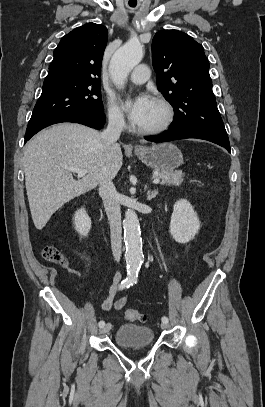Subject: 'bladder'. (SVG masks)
Returning a JSON list of instances; mask_svg holds the SVG:
<instances>
[{
  "label": "bladder",
  "mask_w": 265,
  "mask_h": 407,
  "mask_svg": "<svg viewBox=\"0 0 265 407\" xmlns=\"http://www.w3.org/2000/svg\"><path fill=\"white\" fill-rule=\"evenodd\" d=\"M154 339L153 329L147 326L126 323L115 333V342L119 346L135 348L151 344Z\"/></svg>",
  "instance_id": "31cf9c89"
}]
</instances>
